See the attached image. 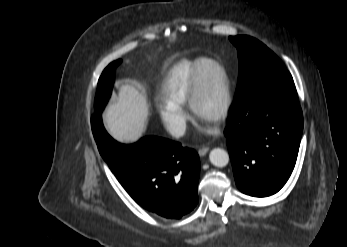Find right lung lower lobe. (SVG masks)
Returning <instances> with one entry per match:
<instances>
[{
	"mask_svg": "<svg viewBox=\"0 0 347 247\" xmlns=\"http://www.w3.org/2000/svg\"><path fill=\"white\" fill-rule=\"evenodd\" d=\"M92 132L99 152L128 194L144 209L179 219L198 203V154L180 143L149 136L125 145L109 136L95 109Z\"/></svg>",
	"mask_w": 347,
	"mask_h": 247,
	"instance_id": "right-lung-lower-lobe-1",
	"label": "right lung lower lobe"
}]
</instances>
